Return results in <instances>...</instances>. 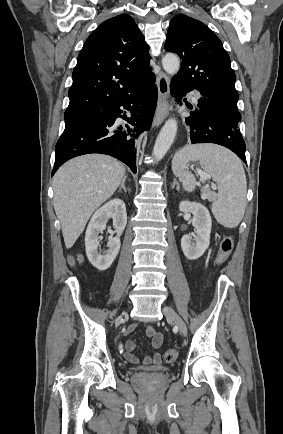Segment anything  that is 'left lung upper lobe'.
I'll return each instance as SVG.
<instances>
[{"label": "left lung upper lobe", "instance_id": "obj_1", "mask_svg": "<svg viewBox=\"0 0 283 434\" xmlns=\"http://www.w3.org/2000/svg\"><path fill=\"white\" fill-rule=\"evenodd\" d=\"M165 50L182 59L172 79L197 90L201 97L238 109L236 76L222 42L202 22L186 15L172 18Z\"/></svg>", "mask_w": 283, "mask_h": 434}]
</instances>
